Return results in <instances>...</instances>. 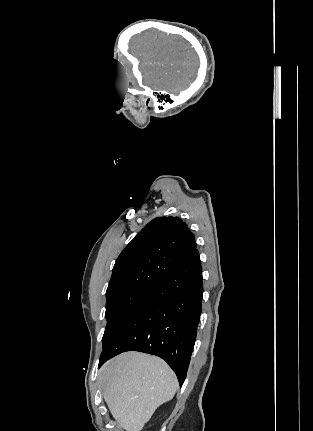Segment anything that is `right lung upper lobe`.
Instances as JSON below:
<instances>
[{"label": "right lung upper lobe", "instance_id": "cb5924a9", "mask_svg": "<svg viewBox=\"0 0 313 431\" xmlns=\"http://www.w3.org/2000/svg\"><path fill=\"white\" fill-rule=\"evenodd\" d=\"M195 249V237L180 218L153 219L117 258L106 296L129 291H152Z\"/></svg>", "mask_w": 313, "mask_h": 431}]
</instances>
